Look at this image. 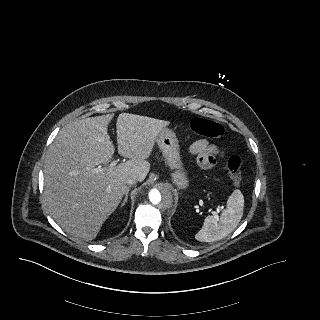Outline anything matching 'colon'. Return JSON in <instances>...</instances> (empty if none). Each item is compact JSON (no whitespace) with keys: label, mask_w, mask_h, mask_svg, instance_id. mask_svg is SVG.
<instances>
[{"label":"colon","mask_w":320,"mask_h":320,"mask_svg":"<svg viewBox=\"0 0 320 320\" xmlns=\"http://www.w3.org/2000/svg\"><path fill=\"white\" fill-rule=\"evenodd\" d=\"M191 128L200 135L218 138L223 134L222 125L212 119L197 117L192 120ZM229 176L233 183L240 184L243 177L244 160L239 155H232L227 162Z\"/></svg>","instance_id":"1"}]
</instances>
